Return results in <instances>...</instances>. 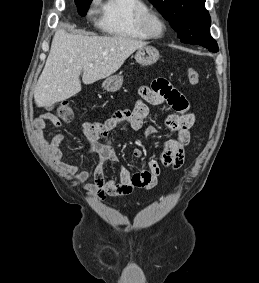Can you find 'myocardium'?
<instances>
[{
  "instance_id": "myocardium-1",
  "label": "myocardium",
  "mask_w": 259,
  "mask_h": 283,
  "mask_svg": "<svg viewBox=\"0 0 259 283\" xmlns=\"http://www.w3.org/2000/svg\"><path fill=\"white\" fill-rule=\"evenodd\" d=\"M155 22H159L163 26V31L160 34L153 30V24ZM142 27L150 38L162 39L168 31L169 25L166 18L159 11L149 9L142 17Z\"/></svg>"
}]
</instances>
